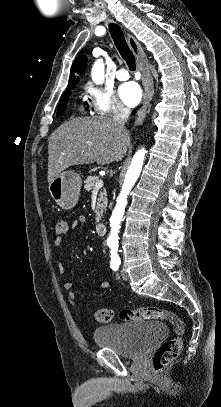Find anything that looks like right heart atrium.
Segmentation results:
<instances>
[{"label":"right heart atrium","mask_w":221,"mask_h":407,"mask_svg":"<svg viewBox=\"0 0 221 407\" xmlns=\"http://www.w3.org/2000/svg\"><path fill=\"white\" fill-rule=\"evenodd\" d=\"M84 91L88 97L92 111L96 114L109 115L127 113L129 110L128 107L113 94V92L103 87L88 82L84 85Z\"/></svg>","instance_id":"d8ad5b80"}]
</instances>
